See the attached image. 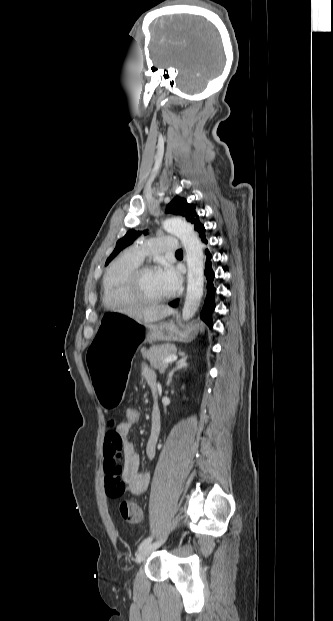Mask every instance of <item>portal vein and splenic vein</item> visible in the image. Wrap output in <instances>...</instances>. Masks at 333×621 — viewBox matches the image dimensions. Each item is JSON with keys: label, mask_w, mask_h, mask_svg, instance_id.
<instances>
[{"label": "portal vein and splenic vein", "mask_w": 333, "mask_h": 621, "mask_svg": "<svg viewBox=\"0 0 333 621\" xmlns=\"http://www.w3.org/2000/svg\"><path fill=\"white\" fill-rule=\"evenodd\" d=\"M177 358H178L177 355H170V356L165 357L162 360V363H171V362L175 361Z\"/></svg>", "instance_id": "portal-vein-and-splenic-vein-1"}]
</instances>
